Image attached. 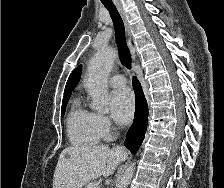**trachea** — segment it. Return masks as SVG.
Returning a JSON list of instances; mask_svg holds the SVG:
<instances>
[{
	"instance_id": "3493384b",
	"label": "trachea",
	"mask_w": 224,
	"mask_h": 188,
	"mask_svg": "<svg viewBox=\"0 0 224 188\" xmlns=\"http://www.w3.org/2000/svg\"><path fill=\"white\" fill-rule=\"evenodd\" d=\"M102 3L109 11L111 19L113 21L116 43L119 49L120 61L127 69H131V56L126 44L125 28L121 16L113 3Z\"/></svg>"
}]
</instances>
